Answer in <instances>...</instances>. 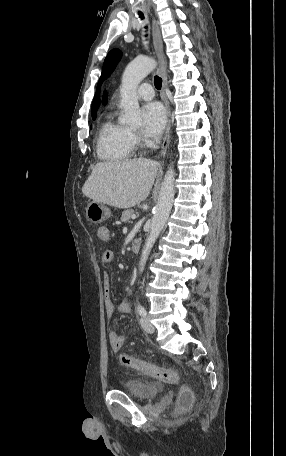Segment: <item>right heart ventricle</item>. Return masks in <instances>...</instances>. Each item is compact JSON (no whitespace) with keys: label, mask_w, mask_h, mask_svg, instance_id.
Listing matches in <instances>:
<instances>
[{"label":"right heart ventricle","mask_w":286,"mask_h":456,"mask_svg":"<svg viewBox=\"0 0 286 456\" xmlns=\"http://www.w3.org/2000/svg\"><path fill=\"white\" fill-rule=\"evenodd\" d=\"M135 144L131 130L109 116L98 133L97 155L106 162H122L132 157Z\"/></svg>","instance_id":"right-heart-ventricle-1"}]
</instances>
